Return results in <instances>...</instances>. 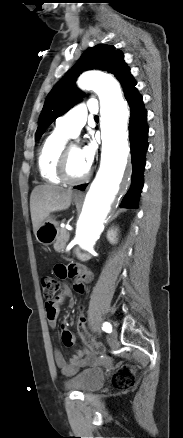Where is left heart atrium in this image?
I'll use <instances>...</instances> for the list:
<instances>
[{"instance_id": "obj_1", "label": "left heart atrium", "mask_w": 183, "mask_h": 438, "mask_svg": "<svg viewBox=\"0 0 183 438\" xmlns=\"http://www.w3.org/2000/svg\"><path fill=\"white\" fill-rule=\"evenodd\" d=\"M95 150H96V147H95V144L93 142H89L87 145H85L81 149L83 159L89 167L94 160Z\"/></svg>"}]
</instances>
